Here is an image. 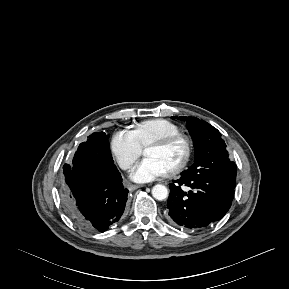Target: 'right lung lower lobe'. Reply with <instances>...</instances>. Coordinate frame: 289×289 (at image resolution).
<instances>
[{"label":"right lung lower lobe","instance_id":"obj_1","mask_svg":"<svg viewBox=\"0 0 289 289\" xmlns=\"http://www.w3.org/2000/svg\"><path fill=\"white\" fill-rule=\"evenodd\" d=\"M66 206L84 229L104 232L121 218L128 189L114 164L84 156L68 169L63 168Z\"/></svg>","mask_w":289,"mask_h":289}]
</instances>
